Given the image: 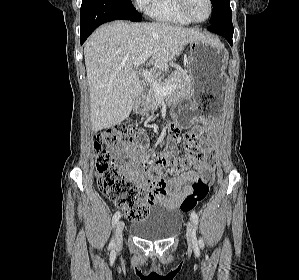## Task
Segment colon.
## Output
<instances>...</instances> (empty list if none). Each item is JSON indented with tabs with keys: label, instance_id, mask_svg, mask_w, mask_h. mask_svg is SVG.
Listing matches in <instances>:
<instances>
[{
	"label": "colon",
	"instance_id": "5ec220e1",
	"mask_svg": "<svg viewBox=\"0 0 299 280\" xmlns=\"http://www.w3.org/2000/svg\"><path fill=\"white\" fill-rule=\"evenodd\" d=\"M197 125H192L184 132V144L186 155L177 157L172 151H167L158 156V161L165 168L175 174H182L190 170L193 160L199 156ZM171 137L176 139L179 131H170ZM140 132L136 128L126 125H118L99 132L94 141L97 182L100 191L108 197L117 207L123 210L127 220L136 222L143 219L149 210L148 194L143 190L127 172V165L115 159L111 149L128 141H143ZM210 182L204 179L197 180L191 192L183 199L181 211L193 210L208 195Z\"/></svg>",
	"mask_w": 299,
	"mask_h": 280
}]
</instances>
